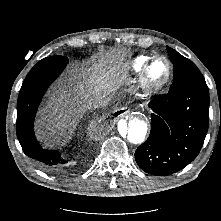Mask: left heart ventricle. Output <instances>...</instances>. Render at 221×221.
<instances>
[{
    "instance_id": "left-heart-ventricle-1",
    "label": "left heart ventricle",
    "mask_w": 221,
    "mask_h": 221,
    "mask_svg": "<svg viewBox=\"0 0 221 221\" xmlns=\"http://www.w3.org/2000/svg\"><path fill=\"white\" fill-rule=\"evenodd\" d=\"M168 74V65L163 59L156 60L149 71V79L153 83L163 81Z\"/></svg>"
}]
</instances>
